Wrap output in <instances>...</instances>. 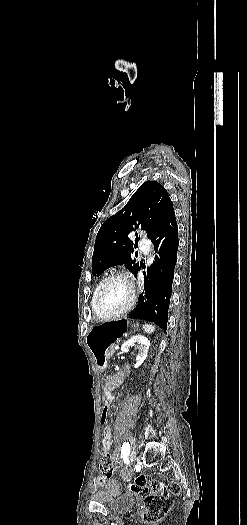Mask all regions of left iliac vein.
Listing matches in <instances>:
<instances>
[{
    "label": "left iliac vein",
    "instance_id": "obj_1",
    "mask_svg": "<svg viewBox=\"0 0 247 525\" xmlns=\"http://www.w3.org/2000/svg\"><path fill=\"white\" fill-rule=\"evenodd\" d=\"M131 443H134V441L132 440ZM136 456H137V452H136L135 449H133V450L130 452V454H129V461H130V462H133V461L135 460Z\"/></svg>",
    "mask_w": 247,
    "mask_h": 525
}]
</instances>
